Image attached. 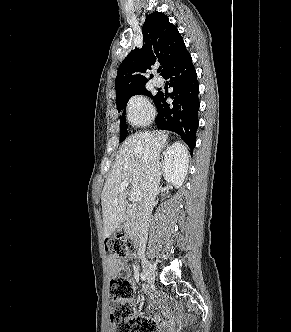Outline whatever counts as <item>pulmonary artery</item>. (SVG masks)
<instances>
[{
    "label": "pulmonary artery",
    "instance_id": "1",
    "mask_svg": "<svg viewBox=\"0 0 291 332\" xmlns=\"http://www.w3.org/2000/svg\"><path fill=\"white\" fill-rule=\"evenodd\" d=\"M154 83H155V85H157V86H162V85L164 84V80H163L162 78H160V77H156V78L154 79Z\"/></svg>",
    "mask_w": 291,
    "mask_h": 332
}]
</instances>
